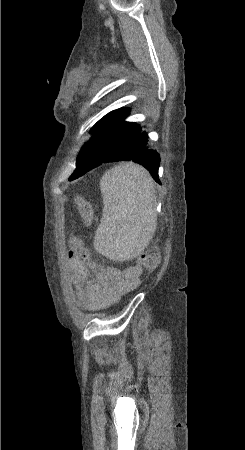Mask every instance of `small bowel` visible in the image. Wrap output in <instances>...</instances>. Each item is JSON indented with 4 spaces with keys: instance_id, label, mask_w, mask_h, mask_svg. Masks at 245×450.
Wrapping results in <instances>:
<instances>
[{
    "instance_id": "small-bowel-1",
    "label": "small bowel",
    "mask_w": 245,
    "mask_h": 450,
    "mask_svg": "<svg viewBox=\"0 0 245 450\" xmlns=\"http://www.w3.org/2000/svg\"><path fill=\"white\" fill-rule=\"evenodd\" d=\"M68 268L75 284L79 301L91 311L106 308L120 297L137 287L141 280V269L130 266L124 270L107 267L98 269L97 262L90 256L86 262L75 259L68 251Z\"/></svg>"
}]
</instances>
